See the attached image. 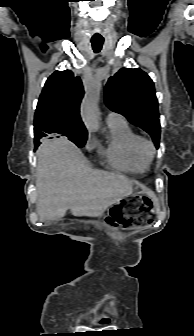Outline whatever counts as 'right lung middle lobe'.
<instances>
[{
    "instance_id": "right-lung-middle-lobe-1",
    "label": "right lung middle lobe",
    "mask_w": 194,
    "mask_h": 336,
    "mask_svg": "<svg viewBox=\"0 0 194 336\" xmlns=\"http://www.w3.org/2000/svg\"><path fill=\"white\" fill-rule=\"evenodd\" d=\"M69 140L75 143L78 147H83L87 140V134H71L67 135Z\"/></svg>"
}]
</instances>
